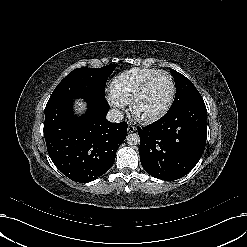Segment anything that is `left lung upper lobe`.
Segmentation results:
<instances>
[{"instance_id":"left-lung-upper-lobe-1","label":"left lung upper lobe","mask_w":247,"mask_h":247,"mask_svg":"<svg viewBox=\"0 0 247 247\" xmlns=\"http://www.w3.org/2000/svg\"><path fill=\"white\" fill-rule=\"evenodd\" d=\"M171 74L175 80L176 95L169 110L179 108L189 101L201 97L194 84L187 77L174 69H171Z\"/></svg>"}]
</instances>
